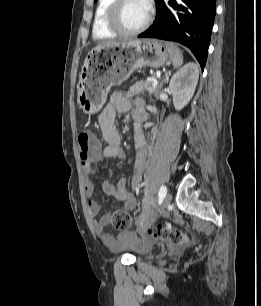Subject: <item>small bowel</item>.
<instances>
[{
    "mask_svg": "<svg viewBox=\"0 0 261 306\" xmlns=\"http://www.w3.org/2000/svg\"><path fill=\"white\" fill-rule=\"evenodd\" d=\"M131 109V103L125 99L121 94L114 93L111 95L109 103L103 108L99 116V126L102 131L103 139L106 143L101 152L102 158L105 159H119L123 160L126 154L121 146V135L116 127V118L120 114H125ZM145 113L138 102L134 110L135 122V140L137 155L134 162V174L131 178V189H137L142 181V172L145 167L146 149L144 139L141 131V124L138 122L140 118L144 117ZM83 170L85 173L84 190L88 199V211L93 219V228L97 236L107 246L114 250H123L137 242V238L132 232H123L114 236L105 231L106 226L110 223L111 213L103 214L99 219L97 216L100 213V204L94 198V183L92 176L96 171L92 166V160L83 163ZM102 190L105 194L115 197L122 201L126 210H133L136 207V199L132 190L127 186L124 178L113 184L109 179H104L101 182Z\"/></svg>",
    "mask_w": 261,
    "mask_h": 306,
    "instance_id": "obj_1",
    "label": "small bowel"
}]
</instances>
